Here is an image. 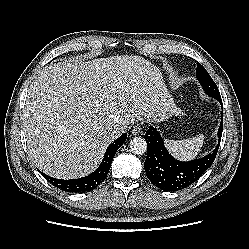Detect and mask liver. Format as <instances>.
<instances>
[{"mask_svg":"<svg viewBox=\"0 0 249 249\" xmlns=\"http://www.w3.org/2000/svg\"><path fill=\"white\" fill-rule=\"evenodd\" d=\"M172 110L159 68L118 55L45 67L29 88L22 124L38 169L75 179L99 166L114 127L161 122Z\"/></svg>","mask_w":249,"mask_h":249,"instance_id":"6515ba94","label":"liver"}]
</instances>
